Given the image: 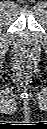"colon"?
<instances>
[{
	"label": "colon",
	"instance_id": "colon-1",
	"mask_svg": "<svg viewBox=\"0 0 47 129\" xmlns=\"http://www.w3.org/2000/svg\"><path fill=\"white\" fill-rule=\"evenodd\" d=\"M22 69L25 71V72H29L30 70V65L28 63H23L22 64Z\"/></svg>",
	"mask_w": 47,
	"mask_h": 129
}]
</instances>
